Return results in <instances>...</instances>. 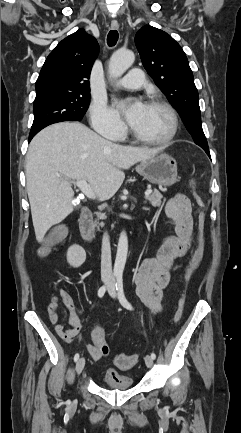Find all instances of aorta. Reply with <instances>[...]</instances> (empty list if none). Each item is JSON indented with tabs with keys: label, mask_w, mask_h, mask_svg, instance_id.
<instances>
[{
	"label": "aorta",
	"mask_w": 241,
	"mask_h": 433,
	"mask_svg": "<svg viewBox=\"0 0 241 433\" xmlns=\"http://www.w3.org/2000/svg\"><path fill=\"white\" fill-rule=\"evenodd\" d=\"M135 59L134 53L129 50H118L110 58L109 74L110 77L116 79L124 74V72L133 64ZM128 253V238L126 232H121L117 253L114 264V275L122 276Z\"/></svg>",
	"instance_id": "1"
}]
</instances>
